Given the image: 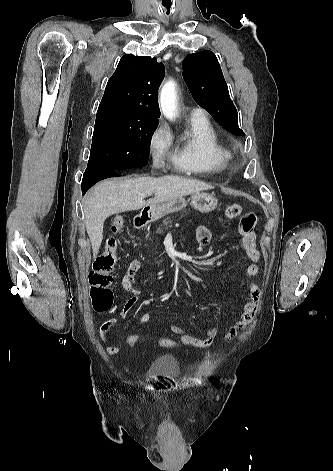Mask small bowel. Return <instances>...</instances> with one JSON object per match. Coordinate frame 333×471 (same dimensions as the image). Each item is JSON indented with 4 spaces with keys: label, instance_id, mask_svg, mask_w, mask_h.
I'll return each mask as SVG.
<instances>
[{
    "label": "small bowel",
    "instance_id": "obj_1",
    "mask_svg": "<svg viewBox=\"0 0 333 471\" xmlns=\"http://www.w3.org/2000/svg\"><path fill=\"white\" fill-rule=\"evenodd\" d=\"M255 216L253 213L245 214L238 225V231L242 236V245L245 250V253L251 263L246 269V276L252 278L256 276L259 272V267L257 265L260 259V253L256 247L255 242ZM196 241L199 245L205 246L209 244L211 240L210 230L205 226H199L196 229L195 233ZM141 268V262L138 259H133L128 264L126 271L122 277L121 285L125 291L130 293V298L126 301L124 306L120 311V317L125 318L128 316L132 308L136 305L140 298V291L136 286V274ZM248 300L244 303L243 312L241 314L240 320H238L234 325L230 327L228 332L225 334V340H231L234 338L238 332L246 328L254 319L262 299L261 289L253 282L249 281L248 283ZM151 322V315L148 313H143L140 316L141 324H149ZM116 323V319L112 318L103 322L99 327V337L103 342H110L109 330ZM170 332L176 335V341L178 343L188 346H193L196 348H208L210 347L217 334L218 329L216 327H211L207 329L205 337L199 338L190 334H187L186 331L177 325L170 327ZM108 355H116L120 352L119 345H110L106 348Z\"/></svg>",
    "mask_w": 333,
    "mask_h": 471
}]
</instances>
